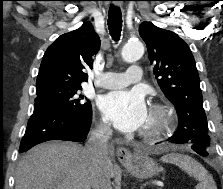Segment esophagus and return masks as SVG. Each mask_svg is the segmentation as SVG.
I'll return each mask as SVG.
<instances>
[{"mask_svg": "<svg viewBox=\"0 0 223 189\" xmlns=\"http://www.w3.org/2000/svg\"><path fill=\"white\" fill-rule=\"evenodd\" d=\"M115 5L121 6V2L116 0ZM116 155L122 164H130L133 158L132 153L124 147H119L116 151Z\"/></svg>", "mask_w": 223, "mask_h": 189, "instance_id": "obj_1", "label": "esophagus"}]
</instances>
